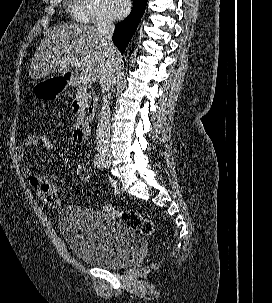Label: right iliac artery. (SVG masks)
<instances>
[{
  "instance_id": "82829eb1",
  "label": "right iliac artery",
  "mask_w": 272,
  "mask_h": 303,
  "mask_svg": "<svg viewBox=\"0 0 272 303\" xmlns=\"http://www.w3.org/2000/svg\"><path fill=\"white\" fill-rule=\"evenodd\" d=\"M94 164L97 168L103 170V162H102L101 157L98 154H96V156L94 158Z\"/></svg>"
}]
</instances>
